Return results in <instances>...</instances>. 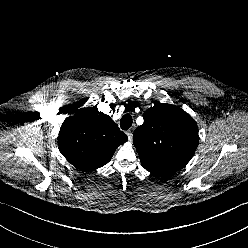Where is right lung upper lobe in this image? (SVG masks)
<instances>
[{
	"label": "right lung upper lobe",
	"mask_w": 248,
	"mask_h": 248,
	"mask_svg": "<svg viewBox=\"0 0 248 248\" xmlns=\"http://www.w3.org/2000/svg\"><path fill=\"white\" fill-rule=\"evenodd\" d=\"M128 140L113 120L96 106L68 117L59 132V147L76 168L93 171L107 164L116 148Z\"/></svg>",
	"instance_id": "1"
}]
</instances>
